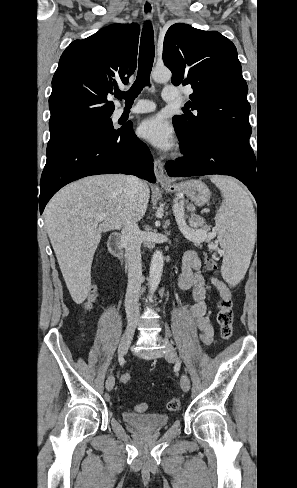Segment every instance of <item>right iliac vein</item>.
<instances>
[{
  "instance_id": "right-iliac-vein-1",
  "label": "right iliac vein",
  "mask_w": 297,
  "mask_h": 488,
  "mask_svg": "<svg viewBox=\"0 0 297 488\" xmlns=\"http://www.w3.org/2000/svg\"><path fill=\"white\" fill-rule=\"evenodd\" d=\"M135 327H136L135 321H129L128 322L127 327L125 329V332H124L123 336L121 337V340H120V343L118 346L119 356L122 357L124 354H126L128 348L131 344V341L133 339ZM114 385H115V378L113 375H110L106 380V389L108 391H111L113 389Z\"/></svg>"
}]
</instances>
